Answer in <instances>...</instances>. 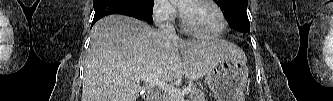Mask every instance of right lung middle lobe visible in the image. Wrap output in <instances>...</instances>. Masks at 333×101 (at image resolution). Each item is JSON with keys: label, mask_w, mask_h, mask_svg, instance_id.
Listing matches in <instances>:
<instances>
[{"label": "right lung middle lobe", "mask_w": 333, "mask_h": 101, "mask_svg": "<svg viewBox=\"0 0 333 101\" xmlns=\"http://www.w3.org/2000/svg\"><path fill=\"white\" fill-rule=\"evenodd\" d=\"M143 8L152 16L154 0H138Z\"/></svg>", "instance_id": "right-lung-middle-lobe-1"}]
</instances>
